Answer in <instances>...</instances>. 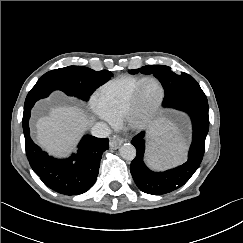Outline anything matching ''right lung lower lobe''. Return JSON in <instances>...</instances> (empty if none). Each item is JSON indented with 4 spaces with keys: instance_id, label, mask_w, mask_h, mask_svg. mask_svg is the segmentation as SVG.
<instances>
[{
    "instance_id": "right-lung-lower-lobe-1",
    "label": "right lung lower lobe",
    "mask_w": 243,
    "mask_h": 243,
    "mask_svg": "<svg viewBox=\"0 0 243 243\" xmlns=\"http://www.w3.org/2000/svg\"><path fill=\"white\" fill-rule=\"evenodd\" d=\"M51 92L49 89H32L26 97L22 126L27 158L33 171L52 190L64 195L82 194L95 183L102 154L109 148V140L85 135L78 145V152L65 160L55 159L43 152L30 138L28 123L35 102L46 98Z\"/></svg>"
}]
</instances>
